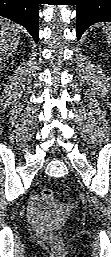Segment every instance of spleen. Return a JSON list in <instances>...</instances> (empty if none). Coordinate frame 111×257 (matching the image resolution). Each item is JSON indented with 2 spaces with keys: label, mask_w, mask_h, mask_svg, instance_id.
Instances as JSON below:
<instances>
[{
  "label": "spleen",
  "mask_w": 111,
  "mask_h": 257,
  "mask_svg": "<svg viewBox=\"0 0 111 257\" xmlns=\"http://www.w3.org/2000/svg\"><path fill=\"white\" fill-rule=\"evenodd\" d=\"M104 33L106 35L107 41L111 43V24H106L103 27Z\"/></svg>",
  "instance_id": "3e777b00"
}]
</instances>
